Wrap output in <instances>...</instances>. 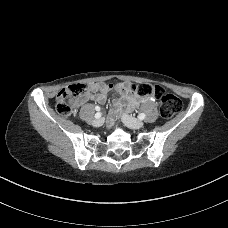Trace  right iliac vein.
I'll use <instances>...</instances> for the list:
<instances>
[{"instance_id": "right-iliac-vein-1", "label": "right iliac vein", "mask_w": 228, "mask_h": 228, "mask_svg": "<svg viewBox=\"0 0 228 228\" xmlns=\"http://www.w3.org/2000/svg\"><path fill=\"white\" fill-rule=\"evenodd\" d=\"M103 122H104L103 119H96L93 121L92 124L94 127H100L101 125H103Z\"/></svg>"}]
</instances>
